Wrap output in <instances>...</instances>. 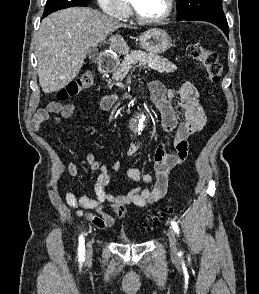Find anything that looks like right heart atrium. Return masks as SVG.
Returning <instances> with one entry per match:
<instances>
[{"instance_id": "right-heart-atrium-1", "label": "right heart atrium", "mask_w": 259, "mask_h": 294, "mask_svg": "<svg viewBox=\"0 0 259 294\" xmlns=\"http://www.w3.org/2000/svg\"><path fill=\"white\" fill-rule=\"evenodd\" d=\"M103 12L115 19L123 20L128 17L130 8L126 0H97Z\"/></svg>"}]
</instances>
